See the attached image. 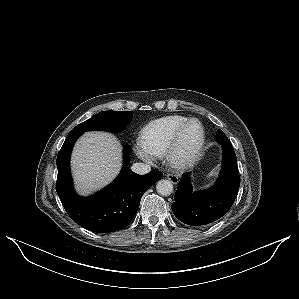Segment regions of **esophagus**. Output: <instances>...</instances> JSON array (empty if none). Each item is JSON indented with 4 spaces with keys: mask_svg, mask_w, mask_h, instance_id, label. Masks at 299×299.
<instances>
[{
    "mask_svg": "<svg viewBox=\"0 0 299 299\" xmlns=\"http://www.w3.org/2000/svg\"><path fill=\"white\" fill-rule=\"evenodd\" d=\"M166 178L170 180V182H172L173 184H177L179 182L178 176L172 173H167Z\"/></svg>",
    "mask_w": 299,
    "mask_h": 299,
    "instance_id": "34e87169",
    "label": "esophagus"
}]
</instances>
